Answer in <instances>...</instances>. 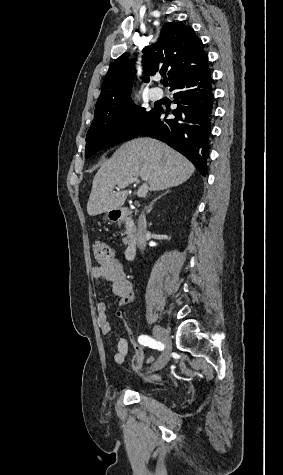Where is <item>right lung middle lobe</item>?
I'll list each match as a JSON object with an SVG mask.
<instances>
[{"label":"right lung middle lobe","instance_id":"obj_1","mask_svg":"<svg viewBox=\"0 0 283 475\" xmlns=\"http://www.w3.org/2000/svg\"><path fill=\"white\" fill-rule=\"evenodd\" d=\"M156 108L146 111L131 100L95 109L86 136L85 158L109 146L133 139L154 116Z\"/></svg>","mask_w":283,"mask_h":475}]
</instances>
